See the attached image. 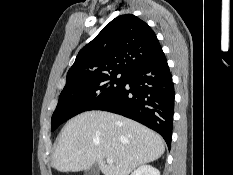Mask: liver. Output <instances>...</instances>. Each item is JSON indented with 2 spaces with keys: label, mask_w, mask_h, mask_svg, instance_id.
Masks as SVG:
<instances>
[{
  "label": "liver",
  "mask_w": 233,
  "mask_h": 175,
  "mask_svg": "<svg viewBox=\"0 0 233 175\" xmlns=\"http://www.w3.org/2000/svg\"><path fill=\"white\" fill-rule=\"evenodd\" d=\"M165 151L162 137L129 118L105 111H88L63 127L52 157L60 172H79L99 165L104 175H129L157 160ZM113 158L112 164L105 159Z\"/></svg>",
  "instance_id": "obj_1"
}]
</instances>
